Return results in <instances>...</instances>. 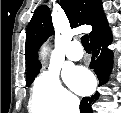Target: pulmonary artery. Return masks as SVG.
Returning a JSON list of instances; mask_svg holds the SVG:
<instances>
[{"label": "pulmonary artery", "mask_w": 121, "mask_h": 113, "mask_svg": "<svg viewBox=\"0 0 121 113\" xmlns=\"http://www.w3.org/2000/svg\"><path fill=\"white\" fill-rule=\"evenodd\" d=\"M66 57L71 61H78L83 57V50L78 41L71 42L66 49Z\"/></svg>", "instance_id": "obj_1"}]
</instances>
